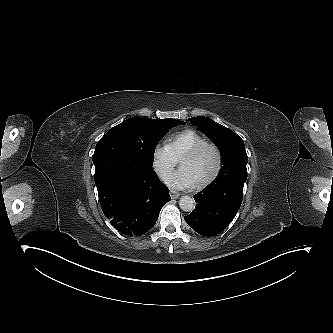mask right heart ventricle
Returning <instances> with one entry per match:
<instances>
[{"mask_svg":"<svg viewBox=\"0 0 333 333\" xmlns=\"http://www.w3.org/2000/svg\"><path fill=\"white\" fill-rule=\"evenodd\" d=\"M205 141V138L194 130L188 129L173 136L167 147L177 161L198 144Z\"/></svg>","mask_w":333,"mask_h":333,"instance_id":"obj_1","label":"right heart ventricle"}]
</instances>
